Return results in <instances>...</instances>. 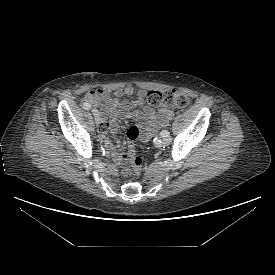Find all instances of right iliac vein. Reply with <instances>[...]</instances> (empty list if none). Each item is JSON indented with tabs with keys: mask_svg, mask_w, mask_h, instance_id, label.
<instances>
[{
	"mask_svg": "<svg viewBox=\"0 0 275 275\" xmlns=\"http://www.w3.org/2000/svg\"><path fill=\"white\" fill-rule=\"evenodd\" d=\"M95 122L98 124L100 122V113L97 109H92Z\"/></svg>",
	"mask_w": 275,
	"mask_h": 275,
	"instance_id": "right-iliac-vein-1",
	"label": "right iliac vein"
}]
</instances>
